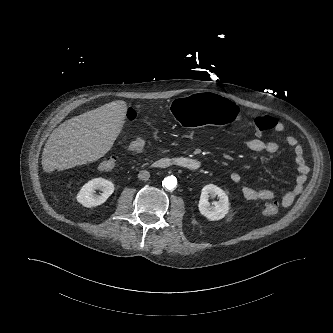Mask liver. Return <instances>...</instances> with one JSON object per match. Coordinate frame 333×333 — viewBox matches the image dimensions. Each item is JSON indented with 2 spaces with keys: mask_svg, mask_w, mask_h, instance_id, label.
Masks as SVG:
<instances>
[{
  "mask_svg": "<svg viewBox=\"0 0 333 333\" xmlns=\"http://www.w3.org/2000/svg\"><path fill=\"white\" fill-rule=\"evenodd\" d=\"M126 112V102L117 100L59 125L45 143L43 170H65L103 157L119 136Z\"/></svg>",
  "mask_w": 333,
  "mask_h": 333,
  "instance_id": "1",
  "label": "liver"
}]
</instances>
